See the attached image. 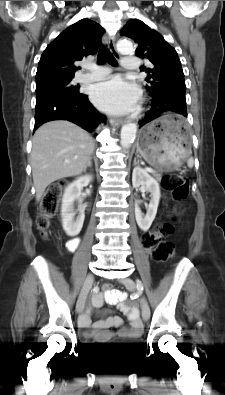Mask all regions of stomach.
I'll use <instances>...</instances> for the list:
<instances>
[{
	"label": "stomach",
	"mask_w": 225,
	"mask_h": 395,
	"mask_svg": "<svg viewBox=\"0 0 225 395\" xmlns=\"http://www.w3.org/2000/svg\"><path fill=\"white\" fill-rule=\"evenodd\" d=\"M137 151L153 167L181 166L190 154V137L180 115L167 112L139 133Z\"/></svg>",
	"instance_id": "stomach-1"
}]
</instances>
